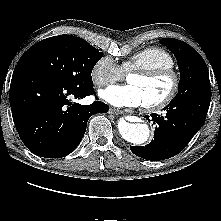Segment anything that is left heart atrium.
I'll return each instance as SVG.
<instances>
[{
	"label": "left heart atrium",
	"instance_id": "39dd6f15",
	"mask_svg": "<svg viewBox=\"0 0 221 221\" xmlns=\"http://www.w3.org/2000/svg\"><path fill=\"white\" fill-rule=\"evenodd\" d=\"M100 97L118 107H138L144 105L139 89L133 84L114 85L100 91Z\"/></svg>",
	"mask_w": 221,
	"mask_h": 221
}]
</instances>
